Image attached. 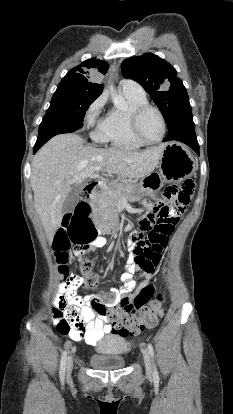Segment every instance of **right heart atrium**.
<instances>
[{
    "label": "right heart atrium",
    "mask_w": 233,
    "mask_h": 414,
    "mask_svg": "<svg viewBox=\"0 0 233 414\" xmlns=\"http://www.w3.org/2000/svg\"><path fill=\"white\" fill-rule=\"evenodd\" d=\"M105 104L106 98L105 96L101 95L88 107L85 113L86 125L94 130L93 137L98 141H102L103 136L100 129L101 124L96 125V120L100 113L103 111Z\"/></svg>",
    "instance_id": "right-heart-atrium-1"
}]
</instances>
